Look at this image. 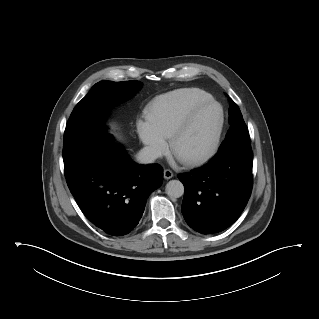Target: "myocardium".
<instances>
[{"mask_svg":"<svg viewBox=\"0 0 319 319\" xmlns=\"http://www.w3.org/2000/svg\"><path fill=\"white\" fill-rule=\"evenodd\" d=\"M217 106L220 112V123L219 127L213 142L212 147L207 151L206 153L195 156V157H190V158H181L177 155L176 153V145L178 141L188 132V130L191 128V126L194 123L195 118L197 115L206 107L208 106ZM225 122H226V114L223 106L221 103L218 101L214 100L213 98L199 103L196 106H194L186 118L182 121V123L177 127V129L172 133L170 136V141H169V146L172 154L176 156L184 165L187 166H198L201 164H204L211 160L219 151L220 145H221V140L222 136L224 133V128H225Z\"/></svg>","mask_w":319,"mask_h":319,"instance_id":"f54148a6","label":"myocardium"}]
</instances>
